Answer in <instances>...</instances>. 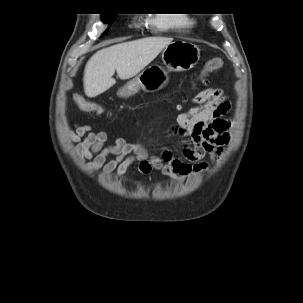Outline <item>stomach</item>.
I'll use <instances>...</instances> for the list:
<instances>
[{
    "mask_svg": "<svg viewBox=\"0 0 303 303\" xmlns=\"http://www.w3.org/2000/svg\"><path fill=\"white\" fill-rule=\"evenodd\" d=\"M200 59L197 45L176 40L168 44L162 52V60L168 71H187L192 69ZM168 71L161 66L152 65L144 69L135 78L128 81L119 91L121 97H129L140 90L155 92L164 88L169 81Z\"/></svg>",
    "mask_w": 303,
    "mask_h": 303,
    "instance_id": "1",
    "label": "stomach"
}]
</instances>
